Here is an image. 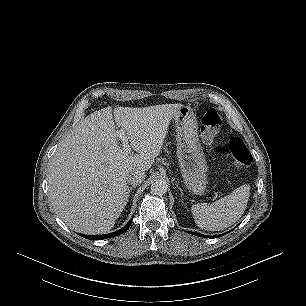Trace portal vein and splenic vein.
Returning <instances> with one entry per match:
<instances>
[{"label": "portal vein and splenic vein", "mask_w": 306, "mask_h": 306, "mask_svg": "<svg viewBox=\"0 0 306 306\" xmlns=\"http://www.w3.org/2000/svg\"><path fill=\"white\" fill-rule=\"evenodd\" d=\"M118 137L120 138V140L122 141L123 143V150L126 152V153H131V147L129 145V142H128V139H127V136L125 134V131L123 129L119 130L118 131Z\"/></svg>", "instance_id": "18ae733b"}]
</instances>
